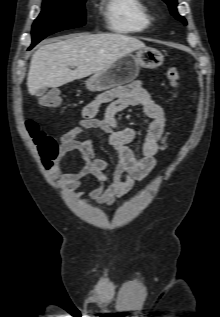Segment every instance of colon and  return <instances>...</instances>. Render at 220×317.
Here are the masks:
<instances>
[{
  "instance_id": "5ec220e1",
  "label": "colon",
  "mask_w": 220,
  "mask_h": 317,
  "mask_svg": "<svg viewBox=\"0 0 220 317\" xmlns=\"http://www.w3.org/2000/svg\"><path fill=\"white\" fill-rule=\"evenodd\" d=\"M166 77L172 87H177L180 80L179 71L172 67L166 72ZM62 102L57 91H48L40 97V104L45 108H56ZM26 129L33 144L37 147L41 162L45 166H50L57 159L59 154V144L55 137L41 130L34 120L26 121Z\"/></svg>"
}]
</instances>
